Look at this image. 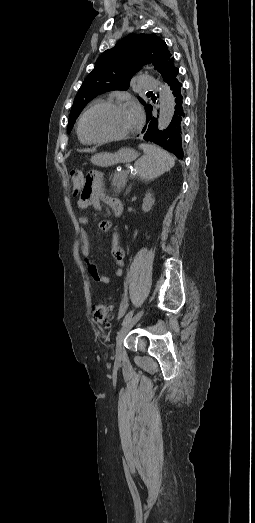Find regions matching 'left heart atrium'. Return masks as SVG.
<instances>
[{"label": "left heart atrium", "mask_w": 255, "mask_h": 523, "mask_svg": "<svg viewBox=\"0 0 255 523\" xmlns=\"http://www.w3.org/2000/svg\"><path fill=\"white\" fill-rule=\"evenodd\" d=\"M134 108H135V111H136L138 117H141V116H142V111H141V109H140L138 106H136V105L134 106Z\"/></svg>", "instance_id": "39dd6f15"}]
</instances>
